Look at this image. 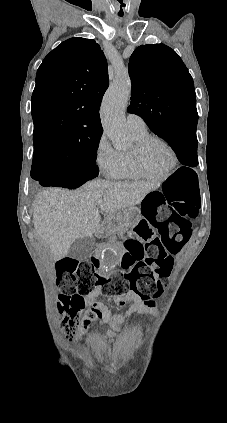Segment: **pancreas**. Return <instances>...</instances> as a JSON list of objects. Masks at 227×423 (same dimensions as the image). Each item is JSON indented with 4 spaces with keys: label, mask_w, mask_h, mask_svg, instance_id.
<instances>
[{
    "label": "pancreas",
    "mask_w": 227,
    "mask_h": 423,
    "mask_svg": "<svg viewBox=\"0 0 227 423\" xmlns=\"http://www.w3.org/2000/svg\"><path fill=\"white\" fill-rule=\"evenodd\" d=\"M116 217H117V221L115 225H113L112 231H115V233H120V235H122V233H125V231H127V225L125 223V219L121 217L120 211L116 213Z\"/></svg>",
    "instance_id": "pancreas-1"
}]
</instances>
